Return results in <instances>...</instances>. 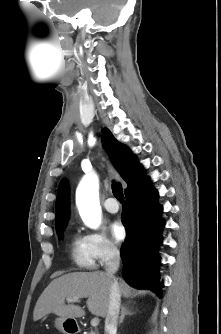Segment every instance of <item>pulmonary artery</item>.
<instances>
[{"label":"pulmonary artery","mask_w":221,"mask_h":334,"mask_svg":"<svg viewBox=\"0 0 221 334\" xmlns=\"http://www.w3.org/2000/svg\"><path fill=\"white\" fill-rule=\"evenodd\" d=\"M105 209L110 213H117L119 211V205L115 198L109 197L104 203Z\"/></svg>","instance_id":"pulmonary-artery-1"}]
</instances>
